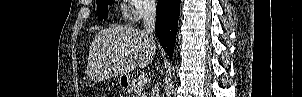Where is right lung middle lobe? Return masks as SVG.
I'll return each mask as SVG.
<instances>
[{"label":"right lung middle lobe","mask_w":302,"mask_h":97,"mask_svg":"<svg viewBox=\"0 0 302 97\" xmlns=\"http://www.w3.org/2000/svg\"><path fill=\"white\" fill-rule=\"evenodd\" d=\"M111 2H112V0H98L97 1L98 17L100 20L107 19L108 5Z\"/></svg>","instance_id":"dd1d6c3e"}]
</instances>
